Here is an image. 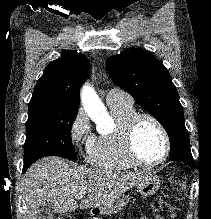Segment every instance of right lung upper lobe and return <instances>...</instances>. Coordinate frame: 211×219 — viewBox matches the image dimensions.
Instances as JSON below:
<instances>
[{"mask_svg":"<svg viewBox=\"0 0 211 219\" xmlns=\"http://www.w3.org/2000/svg\"><path fill=\"white\" fill-rule=\"evenodd\" d=\"M90 74L87 57L64 50L62 57L52 61L38 80L29 104L46 103L59 110H77L79 89Z\"/></svg>","mask_w":211,"mask_h":219,"instance_id":"cb5924a9","label":"right lung upper lobe"}]
</instances>
